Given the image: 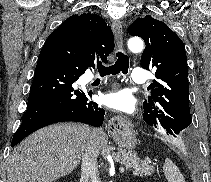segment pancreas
<instances>
[{
    "mask_svg": "<svg viewBox=\"0 0 211 182\" xmlns=\"http://www.w3.org/2000/svg\"><path fill=\"white\" fill-rule=\"evenodd\" d=\"M115 162H119L126 166L127 169L133 168V174L136 176L151 175L154 167L148 165V162L141 160L136 156V153L122 148L110 147L106 149Z\"/></svg>",
    "mask_w": 211,
    "mask_h": 182,
    "instance_id": "pancreas-1",
    "label": "pancreas"
}]
</instances>
